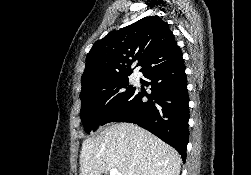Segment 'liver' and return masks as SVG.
Returning <instances> with one entry per match:
<instances>
[{
  "label": "liver",
  "mask_w": 251,
  "mask_h": 175,
  "mask_svg": "<svg viewBox=\"0 0 251 175\" xmlns=\"http://www.w3.org/2000/svg\"><path fill=\"white\" fill-rule=\"evenodd\" d=\"M181 157L159 137L133 125L114 123L84 139L80 175H102L112 167L123 175H179Z\"/></svg>",
  "instance_id": "6515ba94"
}]
</instances>
